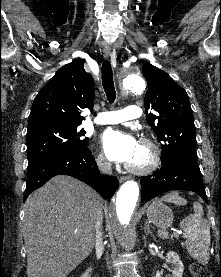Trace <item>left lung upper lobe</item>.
Returning a JSON list of instances; mask_svg holds the SVG:
<instances>
[{
  "label": "left lung upper lobe",
  "mask_w": 221,
  "mask_h": 277,
  "mask_svg": "<svg viewBox=\"0 0 221 277\" xmlns=\"http://www.w3.org/2000/svg\"><path fill=\"white\" fill-rule=\"evenodd\" d=\"M142 71L148 83L146 113L156 111L147 114V122L162 142V166L180 164L200 172L193 111L186 91L166 72L147 62Z\"/></svg>",
  "instance_id": "1"
}]
</instances>
